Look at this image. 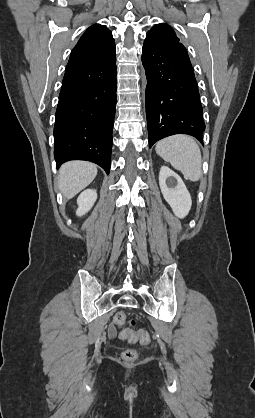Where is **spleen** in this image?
<instances>
[{
	"label": "spleen",
	"instance_id": "3e777b00",
	"mask_svg": "<svg viewBox=\"0 0 255 418\" xmlns=\"http://www.w3.org/2000/svg\"><path fill=\"white\" fill-rule=\"evenodd\" d=\"M156 153L169 162L184 178L196 182L202 176L201 151L193 137L172 135L157 142Z\"/></svg>",
	"mask_w": 255,
	"mask_h": 418
}]
</instances>
